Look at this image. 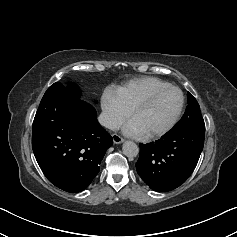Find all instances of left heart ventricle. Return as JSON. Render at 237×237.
Segmentation results:
<instances>
[{
    "mask_svg": "<svg viewBox=\"0 0 237 237\" xmlns=\"http://www.w3.org/2000/svg\"><path fill=\"white\" fill-rule=\"evenodd\" d=\"M180 105V96L175 90H167L139 109L132 121L142 133L157 131L166 126Z\"/></svg>",
    "mask_w": 237,
    "mask_h": 237,
    "instance_id": "b2bd125f",
    "label": "left heart ventricle"
}]
</instances>
